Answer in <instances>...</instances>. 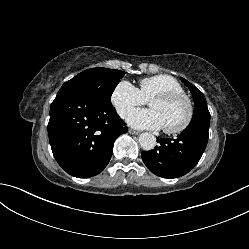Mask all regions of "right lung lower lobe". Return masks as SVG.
Masks as SVG:
<instances>
[{"label":"right lung lower lobe","instance_id":"right-lung-lower-lobe-1","mask_svg":"<svg viewBox=\"0 0 249 249\" xmlns=\"http://www.w3.org/2000/svg\"><path fill=\"white\" fill-rule=\"evenodd\" d=\"M128 131L114 107L73 90L51 104L48 135L53 155L70 175L88 178L109 163L114 141Z\"/></svg>","mask_w":249,"mask_h":249}]
</instances>
